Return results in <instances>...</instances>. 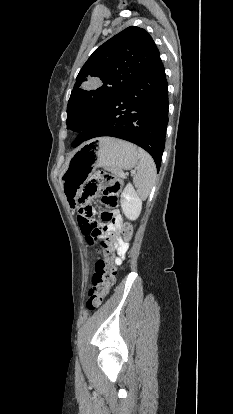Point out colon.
Instances as JSON below:
<instances>
[{"label": "colon", "instance_id": "obj_1", "mask_svg": "<svg viewBox=\"0 0 233 414\" xmlns=\"http://www.w3.org/2000/svg\"><path fill=\"white\" fill-rule=\"evenodd\" d=\"M122 187L121 181L113 175L105 172L95 173L84 188L83 195L79 199L80 204L78 221L81 230L90 242H97L104 259L98 260L95 264V271L92 276V286L88 292L87 307L90 310L99 307L105 300L110 288L115 282L116 268L113 263L116 251V239L102 236L101 231L89 222L91 215L90 207L85 206V199L100 193L104 205L103 216L109 214V209L117 203V195ZM133 229L130 223L123 224V241L125 244L131 239Z\"/></svg>", "mask_w": 233, "mask_h": 414}]
</instances>
